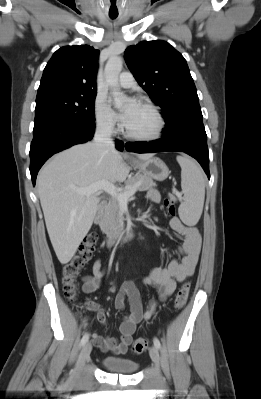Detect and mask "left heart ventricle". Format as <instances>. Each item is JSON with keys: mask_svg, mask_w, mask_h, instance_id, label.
Returning a JSON list of instances; mask_svg holds the SVG:
<instances>
[{"mask_svg": "<svg viewBox=\"0 0 261 399\" xmlns=\"http://www.w3.org/2000/svg\"><path fill=\"white\" fill-rule=\"evenodd\" d=\"M157 120L154 114L146 107L139 105L133 112L125 127L133 134L146 135L156 129Z\"/></svg>", "mask_w": 261, "mask_h": 399, "instance_id": "b2bd125f", "label": "left heart ventricle"}]
</instances>
